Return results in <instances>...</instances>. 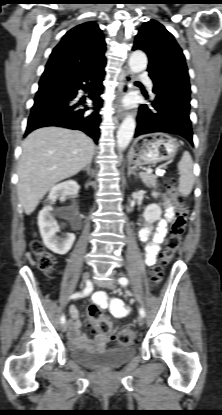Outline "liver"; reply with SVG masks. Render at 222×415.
<instances>
[{
	"label": "liver",
	"instance_id": "1",
	"mask_svg": "<svg viewBox=\"0 0 222 415\" xmlns=\"http://www.w3.org/2000/svg\"><path fill=\"white\" fill-rule=\"evenodd\" d=\"M94 142L81 131L43 127L22 144L17 192L27 215L59 181L76 175L93 157Z\"/></svg>",
	"mask_w": 222,
	"mask_h": 415
}]
</instances>
